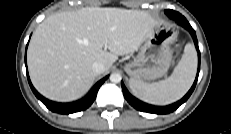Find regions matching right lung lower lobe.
<instances>
[{
  "label": "right lung lower lobe",
  "instance_id": "obj_1",
  "mask_svg": "<svg viewBox=\"0 0 231 134\" xmlns=\"http://www.w3.org/2000/svg\"><path fill=\"white\" fill-rule=\"evenodd\" d=\"M26 70H27V65H26ZM27 78L29 85L34 92L35 96L45 104V106L50 109L53 112L60 113V114H71L74 112H79L82 110L87 109L95 100L98 89L100 86L104 83V81L108 78L105 77L99 82L96 83V85L92 88V90L87 94L84 98H82L79 101L73 102V103H56L49 101L48 99H45L43 96H41L35 88L32 86L29 75H28V70H27Z\"/></svg>",
  "mask_w": 231,
  "mask_h": 134
}]
</instances>
